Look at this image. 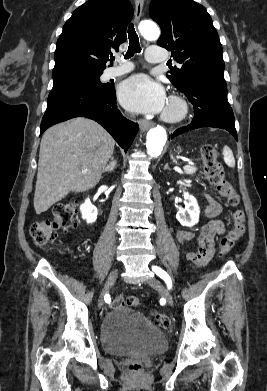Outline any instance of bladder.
<instances>
[{"label": "bladder", "instance_id": "bladder-1", "mask_svg": "<svg viewBox=\"0 0 267 391\" xmlns=\"http://www.w3.org/2000/svg\"><path fill=\"white\" fill-rule=\"evenodd\" d=\"M103 349L116 355L143 351L163 352L168 345L166 335L131 308L118 307L110 311L101 325Z\"/></svg>", "mask_w": 267, "mask_h": 391}]
</instances>
